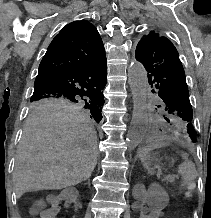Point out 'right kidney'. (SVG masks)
Returning <instances> with one entry per match:
<instances>
[{"mask_svg": "<svg viewBox=\"0 0 211 218\" xmlns=\"http://www.w3.org/2000/svg\"><path fill=\"white\" fill-rule=\"evenodd\" d=\"M79 192L76 188H66L62 193H52L51 197H47V202L50 206V217L51 218H64L63 215L66 214V209H61V206L65 205V202H73L77 198Z\"/></svg>", "mask_w": 211, "mask_h": 218, "instance_id": "obj_1", "label": "right kidney"}]
</instances>
